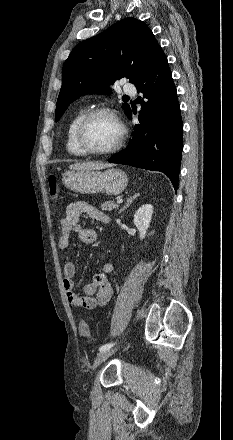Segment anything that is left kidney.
<instances>
[{"label":"left kidney","instance_id":"left-kidney-1","mask_svg":"<svg viewBox=\"0 0 233 440\" xmlns=\"http://www.w3.org/2000/svg\"><path fill=\"white\" fill-rule=\"evenodd\" d=\"M153 214V206L150 204L142 205L134 214L133 222L140 233V239H144L150 226Z\"/></svg>","mask_w":233,"mask_h":440}]
</instances>
